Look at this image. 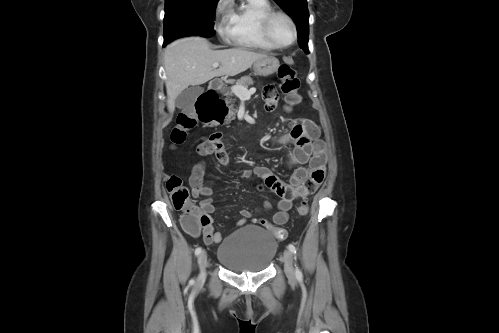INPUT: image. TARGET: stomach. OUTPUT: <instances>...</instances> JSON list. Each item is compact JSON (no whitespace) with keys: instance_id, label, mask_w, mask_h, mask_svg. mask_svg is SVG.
Listing matches in <instances>:
<instances>
[{"instance_id":"obj_1","label":"stomach","mask_w":499,"mask_h":333,"mask_svg":"<svg viewBox=\"0 0 499 333\" xmlns=\"http://www.w3.org/2000/svg\"><path fill=\"white\" fill-rule=\"evenodd\" d=\"M253 68H254V71L257 75L269 76L278 70L279 61L275 57H266V58L257 60L254 63Z\"/></svg>"}]
</instances>
